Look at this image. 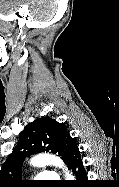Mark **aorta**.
I'll return each mask as SVG.
<instances>
[{"instance_id":"aorta-1","label":"aorta","mask_w":119,"mask_h":187,"mask_svg":"<svg viewBox=\"0 0 119 187\" xmlns=\"http://www.w3.org/2000/svg\"><path fill=\"white\" fill-rule=\"evenodd\" d=\"M30 164L35 167H44L49 164L59 167V168L63 169V172L65 173V178L67 180H74V176L71 173H69V171H68L67 167L64 165L63 161L54 155L38 154L31 159Z\"/></svg>"}]
</instances>
